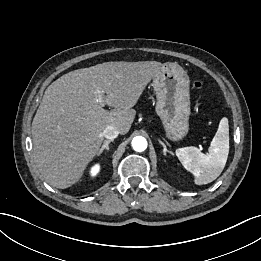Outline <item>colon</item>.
<instances>
[{"label":"colon","mask_w":261,"mask_h":261,"mask_svg":"<svg viewBox=\"0 0 261 261\" xmlns=\"http://www.w3.org/2000/svg\"><path fill=\"white\" fill-rule=\"evenodd\" d=\"M193 88L196 89V90H199L202 88V83L201 82H194L193 84Z\"/></svg>","instance_id":"1"}]
</instances>
